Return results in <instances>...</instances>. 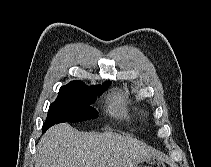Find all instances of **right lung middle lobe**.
Returning <instances> with one entry per match:
<instances>
[{"instance_id":"1","label":"right lung middle lobe","mask_w":211,"mask_h":167,"mask_svg":"<svg viewBox=\"0 0 211 167\" xmlns=\"http://www.w3.org/2000/svg\"><path fill=\"white\" fill-rule=\"evenodd\" d=\"M109 84L110 82H105L98 87L80 84L60 89L57 99L49 107L43 132L61 122H80L94 118L97 112L90 104Z\"/></svg>"}]
</instances>
